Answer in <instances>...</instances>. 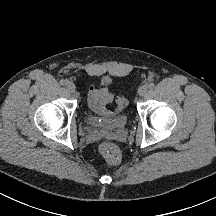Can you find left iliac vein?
I'll use <instances>...</instances> for the list:
<instances>
[{
	"label": "left iliac vein",
	"mask_w": 216,
	"mask_h": 216,
	"mask_svg": "<svg viewBox=\"0 0 216 216\" xmlns=\"http://www.w3.org/2000/svg\"><path fill=\"white\" fill-rule=\"evenodd\" d=\"M148 91V86L147 85H142L140 86V88L138 89V94L140 96H144Z\"/></svg>",
	"instance_id": "1"
}]
</instances>
